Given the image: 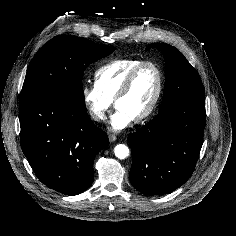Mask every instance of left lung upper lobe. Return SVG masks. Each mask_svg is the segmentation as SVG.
I'll return each instance as SVG.
<instances>
[{
  "label": "left lung upper lobe",
  "mask_w": 236,
  "mask_h": 236,
  "mask_svg": "<svg viewBox=\"0 0 236 236\" xmlns=\"http://www.w3.org/2000/svg\"><path fill=\"white\" fill-rule=\"evenodd\" d=\"M152 47L162 52L166 64V81L160 110L184 100L205 99L198 72L178 49L161 43H152L147 49Z\"/></svg>",
  "instance_id": "left-lung-upper-lobe-1"
}]
</instances>
